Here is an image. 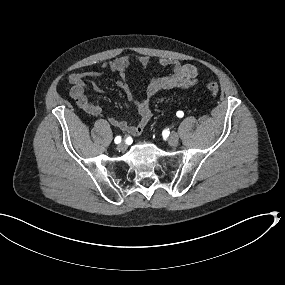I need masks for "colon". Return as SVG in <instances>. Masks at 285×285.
Listing matches in <instances>:
<instances>
[{"label": "colon", "mask_w": 285, "mask_h": 285, "mask_svg": "<svg viewBox=\"0 0 285 285\" xmlns=\"http://www.w3.org/2000/svg\"><path fill=\"white\" fill-rule=\"evenodd\" d=\"M206 88L209 90V92L213 95H217L219 93V85L214 81H208L206 83Z\"/></svg>", "instance_id": "obj_1"}]
</instances>
